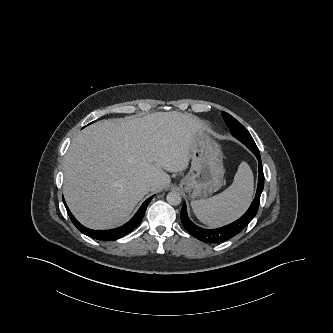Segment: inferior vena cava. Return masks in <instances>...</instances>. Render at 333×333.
<instances>
[{
	"instance_id": "inferior-vena-cava-1",
	"label": "inferior vena cava",
	"mask_w": 333,
	"mask_h": 333,
	"mask_svg": "<svg viewBox=\"0 0 333 333\" xmlns=\"http://www.w3.org/2000/svg\"><path fill=\"white\" fill-rule=\"evenodd\" d=\"M154 185V181H150L149 183H148V186L150 187V186H153Z\"/></svg>"
}]
</instances>
